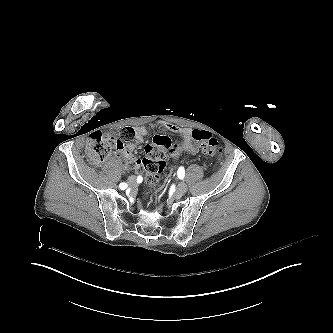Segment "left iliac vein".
Instances as JSON below:
<instances>
[{"label": "left iliac vein", "mask_w": 333, "mask_h": 333, "mask_svg": "<svg viewBox=\"0 0 333 333\" xmlns=\"http://www.w3.org/2000/svg\"><path fill=\"white\" fill-rule=\"evenodd\" d=\"M187 191V185L184 182H180L177 186V194L183 195Z\"/></svg>", "instance_id": "left-iliac-vein-1"}]
</instances>
